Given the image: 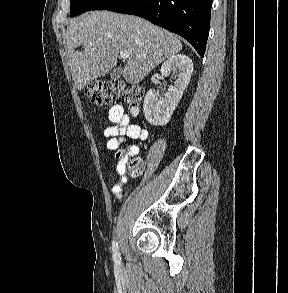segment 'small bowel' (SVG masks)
Returning a JSON list of instances; mask_svg holds the SVG:
<instances>
[{
  "instance_id": "small-bowel-1",
  "label": "small bowel",
  "mask_w": 288,
  "mask_h": 293,
  "mask_svg": "<svg viewBox=\"0 0 288 293\" xmlns=\"http://www.w3.org/2000/svg\"><path fill=\"white\" fill-rule=\"evenodd\" d=\"M108 120L110 126L104 130V137L106 138L105 146L107 150H116L121 143H127L129 140H145L148 133L145 129L140 127L135 122H132L128 114L122 105H113L108 112ZM139 149L136 145H130L122 157L117 166L116 170L120 177V181L112 187V192L117 198L122 197V188L127 182L125 175L126 161L128 157L135 156Z\"/></svg>"
}]
</instances>
